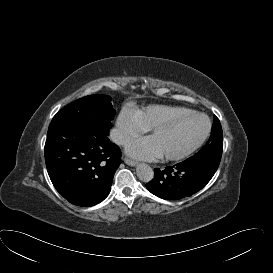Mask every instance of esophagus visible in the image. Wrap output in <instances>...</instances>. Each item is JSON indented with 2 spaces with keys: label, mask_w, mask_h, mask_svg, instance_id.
<instances>
[{
  "label": "esophagus",
  "mask_w": 273,
  "mask_h": 273,
  "mask_svg": "<svg viewBox=\"0 0 273 273\" xmlns=\"http://www.w3.org/2000/svg\"><path fill=\"white\" fill-rule=\"evenodd\" d=\"M125 162L130 166H135L138 163L136 160H131L129 158H125Z\"/></svg>",
  "instance_id": "34e87169"
}]
</instances>
